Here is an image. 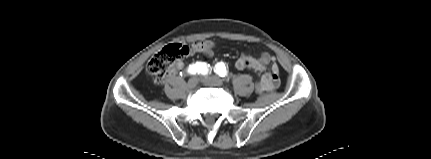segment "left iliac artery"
Instances as JSON below:
<instances>
[{
    "mask_svg": "<svg viewBox=\"0 0 431 159\" xmlns=\"http://www.w3.org/2000/svg\"><path fill=\"white\" fill-rule=\"evenodd\" d=\"M214 72L221 77H226L228 74L226 65L223 62H219L215 65Z\"/></svg>",
    "mask_w": 431,
    "mask_h": 159,
    "instance_id": "obj_1",
    "label": "left iliac artery"
}]
</instances>
